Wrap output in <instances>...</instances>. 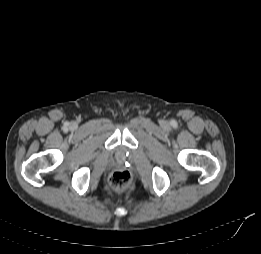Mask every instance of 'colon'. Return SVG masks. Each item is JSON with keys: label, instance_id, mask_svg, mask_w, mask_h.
I'll use <instances>...</instances> for the list:
<instances>
[{"label": "colon", "instance_id": "colon-1", "mask_svg": "<svg viewBox=\"0 0 261 254\" xmlns=\"http://www.w3.org/2000/svg\"><path fill=\"white\" fill-rule=\"evenodd\" d=\"M132 182V176L127 170H118L111 174L109 184L113 190L123 192L129 188Z\"/></svg>", "mask_w": 261, "mask_h": 254}]
</instances>
